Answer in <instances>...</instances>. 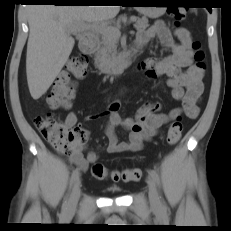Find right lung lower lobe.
Returning a JSON list of instances; mask_svg holds the SVG:
<instances>
[{"label": "right lung lower lobe", "mask_w": 231, "mask_h": 231, "mask_svg": "<svg viewBox=\"0 0 231 231\" xmlns=\"http://www.w3.org/2000/svg\"><path fill=\"white\" fill-rule=\"evenodd\" d=\"M30 3H52L54 5H82V0H27Z\"/></svg>", "instance_id": "obj_1"}]
</instances>
